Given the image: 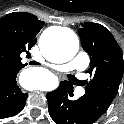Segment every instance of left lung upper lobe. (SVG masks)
<instances>
[{
	"instance_id": "5c2ea615",
	"label": "left lung upper lobe",
	"mask_w": 124,
	"mask_h": 124,
	"mask_svg": "<svg viewBox=\"0 0 124 124\" xmlns=\"http://www.w3.org/2000/svg\"><path fill=\"white\" fill-rule=\"evenodd\" d=\"M78 34L83 49L91 58V66L86 72L91 80L86 82L85 94L81 98L96 121L118 93L124 71L123 55L110 31L98 23H84Z\"/></svg>"
}]
</instances>
